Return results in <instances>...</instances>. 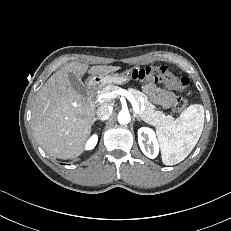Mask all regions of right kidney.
<instances>
[{"label":"right kidney","mask_w":231,"mask_h":231,"mask_svg":"<svg viewBox=\"0 0 231 231\" xmlns=\"http://www.w3.org/2000/svg\"><path fill=\"white\" fill-rule=\"evenodd\" d=\"M98 141V136L96 134L92 135L89 140L87 141L86 145H85V149L86 150H92Z\"/></svg>","instance_id":"obj_1"}]
</instances>
